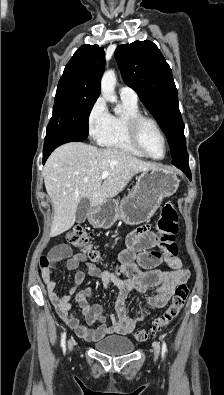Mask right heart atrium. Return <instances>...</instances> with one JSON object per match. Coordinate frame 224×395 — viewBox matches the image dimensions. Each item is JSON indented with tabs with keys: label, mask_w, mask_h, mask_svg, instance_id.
I'll list each match as a JSON object with an SVG mask.
<instances>
[{
	"label": "right heart atrium",
	"mask_w": 224,
	"mask_h": 395,
	"mask_svg": "<svg viewBox=\"0 0 224 395\" xmlns=\"http://www.w3.org/2000/svg\"><path fill=\"white\" fill-rule=\"evenodd\" d=\"M109 112L103 98H97L91 105L87 115V128L91 138L98 140L105 132Z\"/></svg>",
	"instance_id": "1"
}]
</instances>
